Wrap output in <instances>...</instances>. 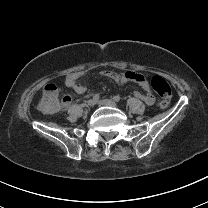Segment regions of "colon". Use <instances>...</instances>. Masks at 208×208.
Here are the masks:
<instances>
[{
  "label": "colon",
  "instance_id": "5ec220e1",
  "mask_svg": "<svg viewBox=\"0 0 208 208\" xmlns=\"http://www.w3.org/2000/svg\"><path fill=\"white\" fill-rule=\"evenodd\" d=\"M151 86L159 96L158 106L160 109H166L169 107L172 90L167 80L161 76H155L151 80ZM42 94L45 98H42L38 102V107L46 114H53L57 110V103L55 99L59 96V89L55 85H46L42 89Z\"/></svg>",
  "mask_w": 208,
  "mask_h": 208
}]
</instances>
